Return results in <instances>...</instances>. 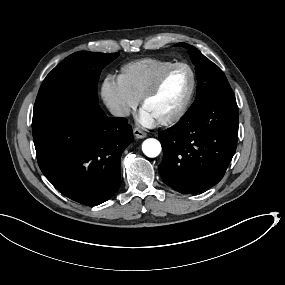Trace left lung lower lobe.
<instances>
[{"mask_svg": "<svg viewBox=\"0 0 285 285\" xmlns=\"http://www.w3.org/2000/svg\"><path fill=\"white\" fill-rule=\"evenodd\" d=\"M163 182L183 193L217 184L235 153L238 107L235 97L213 98L192 106L173 127L159 132Z\"/></svg>", "mask_w": 285, "mask_h": 285, "instance_id": "left-lung-lower-lobe-1", "label": "left lung lower lobe"}]
</instances>
